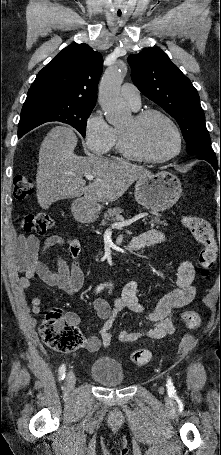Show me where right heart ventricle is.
<instances>
[{
  "label": "right heart ventricle",
  "mask_w": 221,
  "mask_h": 455,
  "mask_svg": "<svg viewBox=\"0 0 221 455\" xmlns=\"http://www.w3.org/2000/svg\"><path fill=\"white\" fill-rule=\"evenodd\" d=\"M112 148L115 149L117 152H121L119 146V129H114V141Z\"/></svg>",
  "instance_id": "obj_1"
}]
</instances>
